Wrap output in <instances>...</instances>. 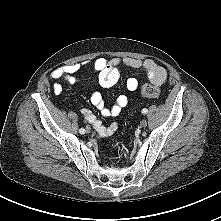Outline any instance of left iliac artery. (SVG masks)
I'll list each match as a JSON object with an SVG mask.
<instances>
[{
  "mask_svg": "<svg viewBox=\"0 0 221 221\" xmlns=\"http://www.w3.org/2000/svg\"><path fill=\"white\" fill-rule=\"evenodd\" d=\"M147 112H148V110L145 109V108L142 110V113H143V114H146Z\"/></svg>",
  "mask_w": 221,
  "mask_h": 221,
  "instance_id": "left-iliac-artery-1",
  "label": "left iliac artery"
}]
</instances>
